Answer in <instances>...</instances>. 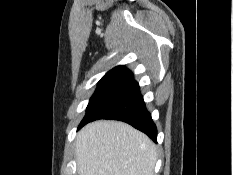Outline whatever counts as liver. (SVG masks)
<instances>
[{
  "mask_svg": "<svg viewBox=\"0 0 233 175\" xmlns=\"http://www.w3.org/2000/svg\"><path fill=\"white\" fill-rule=\"evenodd\" d=\"M79 175H154L156 146L144 133L119 121L84 126L76 138Z\"/></svg>",
  "mask_w": 233,
  "mask_h": 175,
  "instance_id": "1",
  "label": "liver"
}]
</instances>
